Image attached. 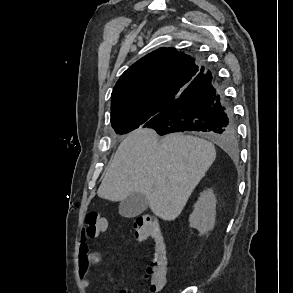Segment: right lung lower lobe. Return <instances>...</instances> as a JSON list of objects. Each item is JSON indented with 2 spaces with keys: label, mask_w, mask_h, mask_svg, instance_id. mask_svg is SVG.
<instances>
[{
  "label": "right lung lower lobe",
  "mask_w": 293,
  "mask_h": 293,
  "mask_svg": "<svg viewBox=\"0 0 293 293\" xmlns=\"http://www.w3.org/2000/svg\"><path fill=\"white\" fill-rule=\"evenodd\" d=\"M160 135L173 132H204L231 145L236 139L232 108L217 89L215 76L208 70L198 74L171 106L147 121Z\"/></svg>",
  "instance_id": "right-lung-lower-lobe-1"
}]
</instances>
